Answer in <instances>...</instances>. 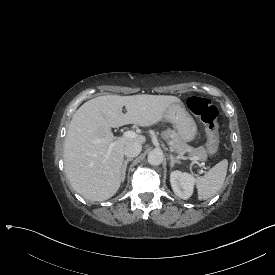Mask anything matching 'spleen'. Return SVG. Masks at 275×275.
Wrapping results in <instances>:
<instances>
[{
    "label": "spleen",
    "mask_w": 275,
    "mask_h": 275,
    "mask_svg": "<svg viewBox=\"0 0 275 275\" xmlns=\"http://www.w3.org/2000/svg\"><path fill=\"white\" fill-rule=\"evenodd\" d=\"M228 169V160L218 162L203 177L196 180L199 198L207 200L222 188Z\"/></svg>",
    "instance_id": "spleen-1"
}]
</instances>
